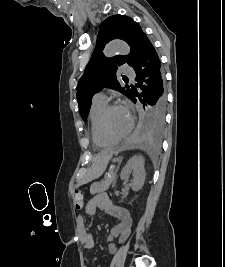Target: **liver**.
<instances>
[{"label":"liver","instance_id":"6515ba94","mask_svg":"<svg viewBox=\"0 0 225 267\" xmlns=\"http://www.w3.org/2000/svg\"><path fill=\"white\" fill-rule=\"evenodd\" d=\"M99 159H100V156H98V157L95 159V161H98ZM93 173H94V171L91 172V176H92Z\"/></svg>","mask_w":225,"mask_h":267}]
</instances>
